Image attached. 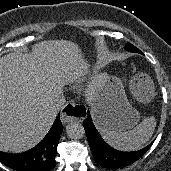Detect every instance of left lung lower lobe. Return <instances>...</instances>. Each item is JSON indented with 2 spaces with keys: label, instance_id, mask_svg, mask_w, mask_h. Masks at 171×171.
<instances>
[{
  "label": "left lung lower lobe",
  "instance_id": "obj_1",
  "mask_svg": "<svg viewBox=\"0 0 171 171\" xmlns=\"http://www.w3.org/2000/svg\"><path fill=\"white\" fill-rule=\"evenodd\" d=\"M83 122L90 148L95 161L102 167L117 170L138 160L151 147L152 144L136 152H121L110 147L97 132L90 113Z\"/></svg>",
  "mask_w": 171,
  "mask_h": 171
}]
</instances>
